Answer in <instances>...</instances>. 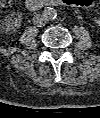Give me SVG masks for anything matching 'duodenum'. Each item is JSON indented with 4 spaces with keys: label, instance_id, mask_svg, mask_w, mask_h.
Segmentation results:
<instances>
[{
    "label": "duodenum",
    "instance_id": "1",
    "mask_svg": "<svg viewBox=\"0 0 100 118\" xmlns=\"http://www.w3.org/2000/svg\"><path fill=\"white\" fill-rule=\"evenodd\" d=\"M67 0H26V7L29 10H35L38 8L57 6L66 4Z\"/></svg>",
    "mask_w": 100,
    "mask_h": 118
}]
</instances>
